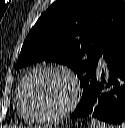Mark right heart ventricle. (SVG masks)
<instances>
[{
    "label": "right heart ventricle",
    "instance_id": "right-heart-ventricle-1",
    "mask_svg": "<svg viewBox=\"0 0 125 128\" xmlns=\"http://www.w3.org/2000/svg\"><path fill=\"white\" fill-rule=\"evenodd\" d=\"M17 108L20 116L24 119V121L30 123L32 120L25 114L20 103V86L17 91Z\"/></svg>",
    "mask_w": 125,
    "mask_h": 128
}]
</instances>
